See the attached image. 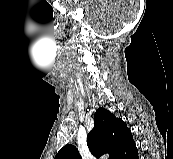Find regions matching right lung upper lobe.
<instances>
[{"label": "right lung upper lobe", "mask_w": 173, "mask_h": 159, "mask_svg": "<svg viewBox=\"0 0 173 159\" xmlns=\"http://www.w3.org/2000/svg\"><path fill=\"white\" fill-rule=\"evenodd\" d=\"M87 145L95 157L109 154V159H125L136 150L130 129L120 118L101 107L94 115V128L87 136ZM54 159H81L73 144L64 146Z\"/></svg>", "instance_id": "cb5924a9"}]
</instances>
